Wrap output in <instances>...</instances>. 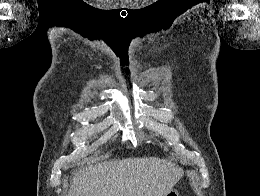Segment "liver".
<instances>
[{"label": "liver", "mask_w": 260, "mask_h": 196, "mask_svg": "<svg viewBox=\"0 0 260 196\" xmlns=\"http://www.w3.org/2000/svg\"><path fill=\"white\" fill-rule=\"evenodd\" d=\"M182 174V168L160 158L110 160L80 168L68 196H166Z\"/></svg>", "instance_id": "1"}]
</instances>
